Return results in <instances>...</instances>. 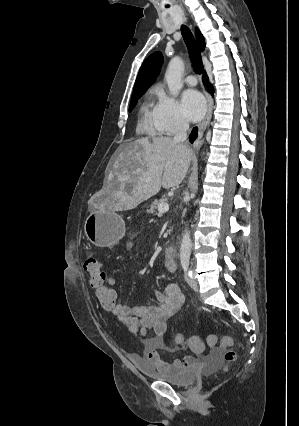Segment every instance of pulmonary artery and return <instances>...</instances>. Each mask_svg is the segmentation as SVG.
<instances>
[{"instance_id":"e3ab8cb5","label":"pulmonary artery","mask_w":299,"mask_h":426,"mask_svg":"<svg viewBox=\"0 0 299 426\" xmlns=\"http://www.w3.org/2000/svg\"><path fill=\"white\" fill-rule=\"evenodd\" d=\"M185 81L189 86H195L197 84V79L194 75H188Z\"/></svg>"}]
</instances>
